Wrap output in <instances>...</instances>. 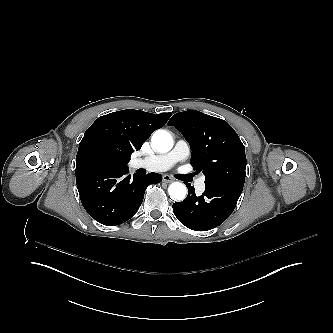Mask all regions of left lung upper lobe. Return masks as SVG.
Wrapping results in <instances>:
<instances>
[{"label": "left lung upper lobe", "instance_id": "obj_1", "mask_svg": "<svg viewBox=\"0 0 333 333\" xmlns=\"http://www.w3.org/2000/svg\"><path fill=\"white\" fill-rule=\"evenodd\" d=\"M168 125L178 129L190 144L191 165L204 173L206 185L243 189L245 148L226 121L199 111H184L173 115Z\"/></svg>", "mask_w": 333, "mask_h": 333}]
</instances>
